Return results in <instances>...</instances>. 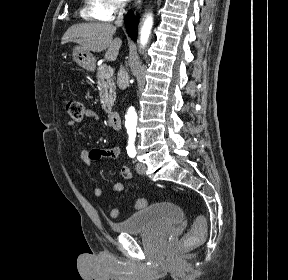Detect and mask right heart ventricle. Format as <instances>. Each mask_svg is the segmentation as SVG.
Here are the masks:
<instances>
[{
    "label": "right heart ventricle",
    "instance_id": "obj_1",
    "mask_svg": "<svg viewBox=\"0 0 288 280\" xmlns=\"http://www.w3.org/2000/svg\"><path fill=\"white\" fill-rule=\"evenodd\" d=\"M99 0H83L80 15L86 20H101L99 16Z\"/></svg>",
    "mask_w": 288,
    "mask_h": 280
}]
</instances>
